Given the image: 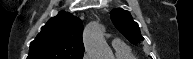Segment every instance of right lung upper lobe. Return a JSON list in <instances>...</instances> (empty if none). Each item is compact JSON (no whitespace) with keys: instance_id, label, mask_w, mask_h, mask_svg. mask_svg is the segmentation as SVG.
<instances>
[{"instance_id":"1","label":"right lung upper lobe","mask_w":193,"mask_h":59,"mask_svg":"<svg viewBox=\"0 0 193 59\" xmlns=\"http://www.w3.org/2000/svg\"><path fill=\"white\" fill-rule=\"evenodd\" d=\"M82 21L67 12L49 19L30 44L27 59H82Z\"/></svg>"}]
</instances>
